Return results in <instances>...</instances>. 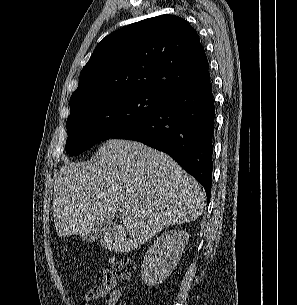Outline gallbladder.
I'll list each match as a JSON object with an SVG mask.
<instances>
[{
    "mask_svg": "<svg viewBox=\"0 0 297 305\" xmlns=\"http://www.w3.org/2000/svg\"><path fill=\"white\" fill-rule=\"evenodd\" d=\"M114 227H115V223L103 221L95 225V227L88 233L81 234L80 237L82 241L93 242L96 239L105 236Z\"/></svg>",
    "mask_w": 297,
    "mask_h": 305,
    "instance_id": "bac80fb5",
    "label": "gallbladder"
}]
</instances>
